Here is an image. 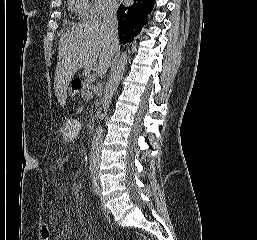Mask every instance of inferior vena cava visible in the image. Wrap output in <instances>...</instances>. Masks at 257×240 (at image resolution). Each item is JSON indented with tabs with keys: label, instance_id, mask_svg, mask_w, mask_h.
Listing matches in <instances>:
<instances>
[{
	"label": "inferior vena cava",
	"instance_id": "1",
	"mask_svg": "<svg viewBox=\"0 0 257 240\" xmlns=\"http://www.w3.org/2000/svg\"><path fill=\"white\" fill-rule=\"evenodd\" d=\"M117 9L118 5L112 3L107 8L106 16L102 22V28L111 38L112 41L118 43V20H117Z\"/></svg>",
	"mask_w": 257,
	"mask_h": 240
}]
</instances>
